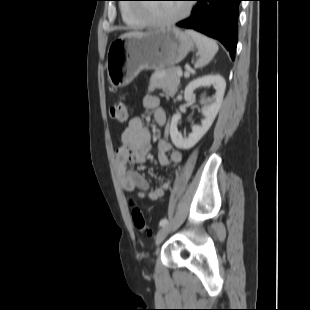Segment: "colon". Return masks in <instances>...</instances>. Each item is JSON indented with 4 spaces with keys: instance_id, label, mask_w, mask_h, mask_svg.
<instances>
[{
    "instance_id": "1",
    "label": "colon",
    "mask_w": 310,
    "mask_h": 310,
    "mask_svg": "<svg viewBox=\"0 0 310 310\" xmlns=\"http://www.w3.org/2000/svg\"><path fill=\"white\" fill-rule=\"evenodd\" d=\"M110 116L112 119L124 122L128 116L127 101L123 97L115 100L110 109ZM130 216L135 228L142 234L149 235L151 230L147 224L141 209L131 201Z\"/></svg>"
}]
</instances>
